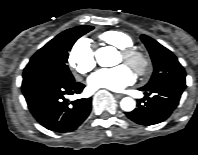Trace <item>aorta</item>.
<instances>
[{
	"label": "aorta",
	"mask_w": 198,
	"mask_h": 155,
	"mask_svg": "<svg viewBox=\"0 0 198 155\" xmlns=\"http://www.w3.org/2000/svg\"><path fill=\"white\" fill-rule=\"evenodd\" d=\"M95 57L97 63L102 67H110L117 64L116 50L111 47H102L95 51ZM121 109L130 112L135 109L136 103L130 97H125L120 102Z\"/></svg>",
	"instance_id": "aorta-1"
}]
</instances>
